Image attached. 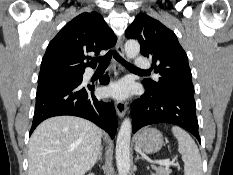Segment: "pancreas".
Instances as JSON below:
<instances>
[{
  "label": "pancreas",
  "instance_id": "obj_1",
  "mask_svg": "<svg viewBox=\"0 0 233 175\" xmlns=\"http://www.w3.org/2000/svg\"><path fill=\"white\" fill-rule=\"evenodd\" d=\"M153 170H155L156 175H170L171 170L168 167H152Z\"/></svg>",
  "mask_w": 233,
  "mask_h": 175
}]
</instances>
